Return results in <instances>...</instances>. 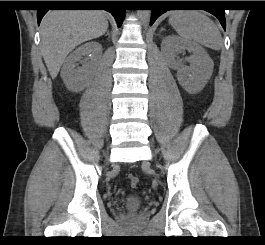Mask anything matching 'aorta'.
Segmentation results:
<instances>
[{
    "mask_svg": "<svg viewBox=\"0 0 265 245\" xmlns=\"http://www.w3.org/2000/svg\"><path fill=\"white\" fill-rule=\"evenodd\" d=\"M137 16L143 23H147L150 19V10H138Z\"/></svg>",
    "mask_w": 265,
    "mask_h": 245,
    "instance_id": "aorta-1",
    "label": "aorta"
}]
</instances>
